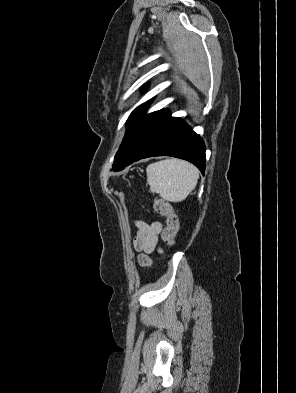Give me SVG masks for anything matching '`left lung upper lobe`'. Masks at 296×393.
Returning <instances> with one entry per match:
<instances>
[{
	"label": "left lung upper lobe",
	"instance_id": "obj_1",
	"mask_svg": "<svg viewBox=\"0 0 296 393\" xmlns=\"http://www.w3.org/2000/svg\"><path fill=\"white\" fill-rule=\"evenodd\" d=\"M150 101L137 107L129 116L127 120V130L124 136L123 142L115 155L113 170L120 171L125 162L127 161L132 150L136 146L140 137L150 125V123L163 111H155L150 114H146L147 107Z\"/></svg>",
	"mask_w": 296,
	"mask_h": 393
}]
</instances>
